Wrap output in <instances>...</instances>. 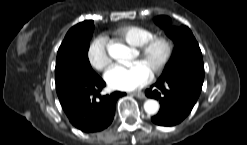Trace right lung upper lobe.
<instances>
[{
  "label": "right lung upper lobe",
  "instance_id": "cb5924a9",
  "mask_svg": "<svg viewBox=\"0 0 247 145\" xmlns=\"http://www.w3.org/2000/svg\"><path fill=\"white\" fill-rule=\"evenodd\" d=\"M91 23H94L93 21H84L82 23H79L77 25H75L74 27H79V26H83V25H89Z\"/></svg>",
  "mask_w": 247,
  "mask_h": 145
}]
</instances>
